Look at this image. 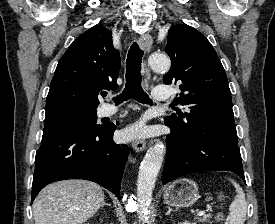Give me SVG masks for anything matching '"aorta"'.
<instances>
[{"instance_id": "obj_1", "label": "aorta", "mask_w": 275, "mask_h": 224, "mask_svg": "<svg viewBox=\"0 0 275 224\" xmlns=\"http://www.w3.org/2000/svg\"><path fill=\"white\" fill-rule=\"evenodd\" d=\"M148 64L152 70L157 72H166L170 69V60L164 54H151L148 58ZM164 154V145L156 143L147 151L141 162L137 180V200L139 206L138 217L143 222H147L149 218L152 193Z\"/></svg>"}]
</instances>
